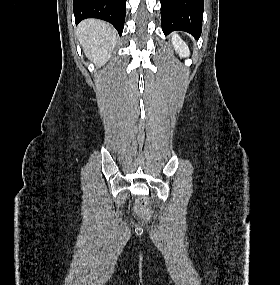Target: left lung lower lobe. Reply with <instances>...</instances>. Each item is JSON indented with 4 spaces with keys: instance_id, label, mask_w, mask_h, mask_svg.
I'll return each instance as SVG.
<instances>
[{
    "instance_id": "0a47b994",
    "label": "left lung lower lobe",
    "mask_w": 280,
    "mask_h": 285,
    "mask_svg": "<svg viewBox=\"0 0 280 285\" xmlns=\"http://www.w3.org/2000/svg\"><path fill=\"white\" fill-rule=\"evenodd\" d=\"M162 30L191 33L198 38L202 30L203 0H160Z\"/></svg>"
}]
</instances>
